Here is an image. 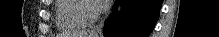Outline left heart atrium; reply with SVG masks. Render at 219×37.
I'll return each instance as SVG.
<instances>
[{
	"instance_id": "39dd6f15",
	"label": "left heart atrium",
	"mask_w": 219,
	"mask_h": 37,
	"mask_svg": "<svg viewBox=\"0 0 219 37\" xmlns=\"http://www.w3.org/2000/svg\"><path fill=\"white\" fill-rule=\"evenodd\" d=\"M95 3H96L97 7H106V4L108 3V1H106V0H96Z\"/></svg>"
}]
</instances>
